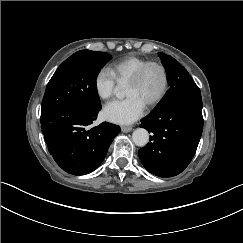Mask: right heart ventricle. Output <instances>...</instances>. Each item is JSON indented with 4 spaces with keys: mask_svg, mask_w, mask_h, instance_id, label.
Instances as JSON below:
<instances>
[{
    "mask_svg": "<svg viewBox=\"0 0 243 243\" xmlns=\"http://www.w3.org/2000/svg\"><path fill=\"white\" fill-rule=\"evenodd\" d=\"M148 59L132 55L113 63L110 68L118 83H126L135 71Z\"/></svg>",
    "mask_w": 243,
    "mask_h": 243,
    "instance_id": "right-heart-ventricle-1",
    "label": "right heart ventricle"
}]
</instances>
